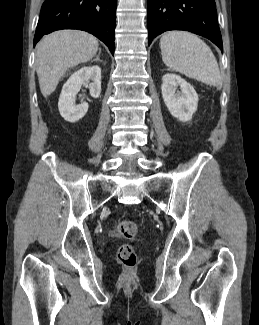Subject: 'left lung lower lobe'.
<instances>
[{
	"label": "left lung lower lobe",
	"mask_w": 259,
	"mask_h": 325,
	"mask_svg": "<svg viewBox=\"0 0 259 325\" xmlns=\"http://www.w3.org/2000/svg\"><path fill=\"white\" fill-rule=\"evenodd\" d=\"M148 42L169 30H185L222 50L215 0H148Z\"/></svg>",
	"instance_id": "1"
}]
</instances>
